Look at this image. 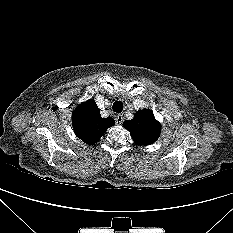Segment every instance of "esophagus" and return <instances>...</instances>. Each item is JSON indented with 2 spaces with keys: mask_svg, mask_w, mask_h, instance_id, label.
<instances>
[{
  "mask_svg": "<svg viewBox=\"0 0 233 233\" xmlns=\"http://www.w3.org/2000/svg\"><path fill=\"white\" fill-rule=\"evenodd\" d=\"M115 121H116V124H117V125L122 124V122H123V115H122V114H118V115L116 116Z\"/></svg>",
  "mask_w": 233,
  "mask_h": 233,
  "instance_id": "esophagus-1",
  "label": "esophagus"
}]
</instances>
